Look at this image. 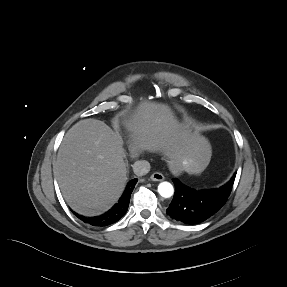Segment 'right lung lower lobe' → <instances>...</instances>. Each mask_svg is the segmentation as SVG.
Masks as SVG:
<instances>
[{
	"instance_id": "right-lung-lower-lobe-1",
	"label": "right lung lower lobe",
	"mask_w": 287,
	"mask_h": 287,
	"mask_svg": "<svg viewBox=\"0 0 287 287\" xmlns=\"http://www.w3.org/2000/svg\"><path fill=\"white\" fill-rule=\"evenodd\" d=\"M137 183V179H133L128 182L127 187L119 199V202L115 204L108 212L104 213L103 215L96 216V217H85L74 213L76 217H78L83 222L90 224L92 226H108L120 220L125 213L127 212L130 196Z\"/></svg>"
}]
</instances>
